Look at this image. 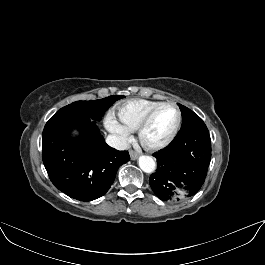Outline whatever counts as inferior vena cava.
Segmentation results:
<instances>
[{"mask_svg":"<svg viewBox=\"0 0 265 265\" xmlns=\"http://www.w3.org/2000/svg\"><path fill=\"white\" fill-rule=\"evenodd\" d=\"M106 142L109 146L117 150H126L128 148L127 141L118 135H108L106 137Z\"/></svg>","mask_w":265,"mask_h":265,"instance_id":"602c4592","label":"inferior vena cava"}]
</instances>
